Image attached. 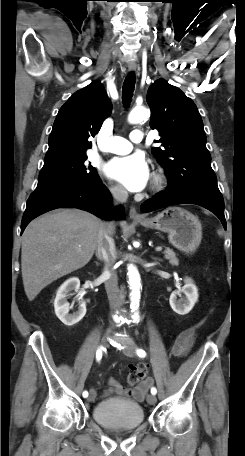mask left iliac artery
Masks as SVG:
<instances>
[{"mask_svg":"<svg viewBox=\"0 0 245 456\" xmlns=\"http://www.w3.org/2000/svg\"><path fill=\"white\" fill-rule=\"evenodd\" d=\"M136 353L139 357L144 358L146 356V352L143 349H137ZM151 393L155 395L157 393V390L155 387L151 388Z\"/></svg>","mask_w":245,"mask_h":456,"instance_id":"obj_1","label":"left iliac artery"}]
</instances>
